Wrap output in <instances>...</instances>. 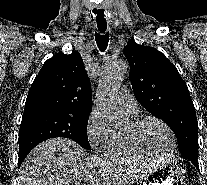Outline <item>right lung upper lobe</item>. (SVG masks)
I'll use <instances>...</instances> for the list:
<instances>
[{
    "mask_svg": "<svg viewBox=\"0 0 207 185\" xmlns=\"http://www.w3.org/2000/svg\"><path fill=\"white\" fill-rule=\"evenodd\" d=\"M40 110L91 113V84L79 52H60L44 62L29 90L24 112Z\"/></svg>",
    "mask_w": 207,
    "mask_h": 185,
    "instance_id": "right-lung-upper-lobe-1",
    "label": "right lung upper lobe"
}]
</instances>
